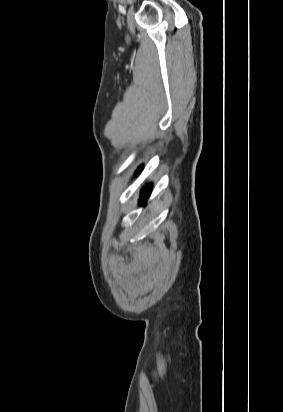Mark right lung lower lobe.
Wrapping results in <instances>:
<instances>
[{
    "mask_svg": "<svg viewBox=\"0 0 283 412\" xmlns=\"http://www.w3.org/2000/svg\"><path fill=\"white\" fill-rule=\"evenodd\" d=\"M142 170V167L139 168L138 173ZM151 193V187L147 186L145 189L142 190L141 197L139 203L144 205L147 202L148 197Z\"/></svg>",
    "mask_w": 283,
    "mask_h": 412,
    "instance_id": "1",
    "label": "right lung lower lobe"
}]
</instances>
